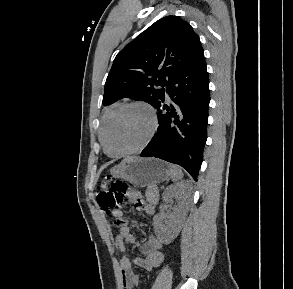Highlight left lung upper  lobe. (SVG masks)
<instances>
[{"label": "left lung upper lobe", "mask_w": 293, "mask_h": 289, "mask_svg": "<svg viewBox=\"0 0 293 289\" xmlns=\"http://www.w3.org/2000/svg\"><path fill=\"white\" fill-rule=\"evenodd\" d=\"M203 51L191 25L177 16L159 19L116 56L105 83L103 105L122 98L153 107L167 86Z\"/></svg>", "instance_id": "obj_1"}]
</instances>
